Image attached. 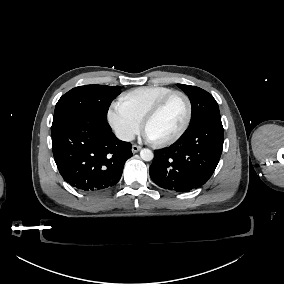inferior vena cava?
Instances as JSON below:
<instances>
[{"mask_svg": "<svg viewBox=\"0 0 284 284\" xmlns=\"http://www.w3.org/2000/svg\"><path fill=\"white\" fill-rule=\"evenodd\" d=\"M116 136L119 139L124 140V141H132L135 139V135L132 132L127 131V130H118L116 132Z\"/></svg>", "mask_w": 284, "mask_h": 284, "instance_id": "1", "label": "inferior vena cava"}]
</instances>
